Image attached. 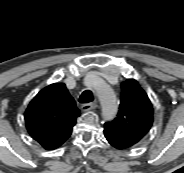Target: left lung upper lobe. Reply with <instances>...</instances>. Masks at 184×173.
Returning <instances> with one entry per match:
<instances>
[{
    "label": "left lung upper lobe",
    "instance_id": "left-lung-upper-lobe-1",
    "mask_svg": "<svg viewBox=\"0 0 184 173\" xmlns=\"http://www.w3.org/2000/svg\"><path fill=\"white\" fill-rule=\"evenodd\" d=\"M152 123L153 108L147 94L136 80H126L122 83L117 117L105 123L104 132L132 147L143 139Z\"/></svg>",
    "mask_w": 184,
    "mask_h": 173
}]
</instances>
